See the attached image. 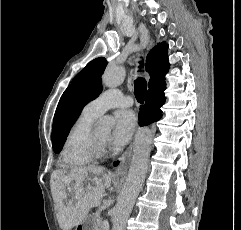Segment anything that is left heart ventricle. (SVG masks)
<instances>
[{
	"label": "left heart ventricle",
	"instance_id": "1",
	"mask_svg": "<svg viewBox=\"0 0 241 230\" xmlns=\"http://www.w3.org/2000/svg\"><path fill=\"white\" fill-rule=\"evenodd\" d=\"M95 136L97 140L103 144H107L110 139V134L106 130H100V129L95 130Z\"/></svg>",
	"mask_w": 241,
	"mask_h": 230
}]
</instances>
